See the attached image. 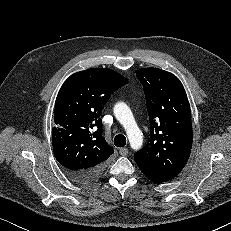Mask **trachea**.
Instances as JSON below:
<instances>
[{"label": "trachea", "mask_w": 231, "mask_h": 231, "mask_svg": "<svg viewBox=\"0 0 231 231\" xmlns=\"http://www.w3.org/2000/svg\"><path fill=\"white\" fill-rule=\"evenodd\" d=\"M114 144L117 147H124L126 145V137L123 134H118L114 138Z\"/></svg>", "instance_id": "trachea-1"}]
</instances>
